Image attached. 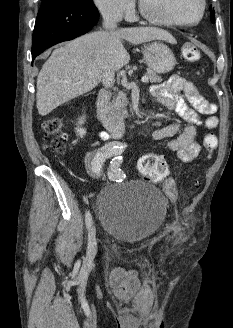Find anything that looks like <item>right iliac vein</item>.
Returning <instances> with one entry per match:
<instances>
[{
    "instance_id": "1",
    "label": "right iliac vein",
    "mask_w": 233,
    "mask_h": 328,
    "mask_svg": "<svg viewBox=\"0 0 233 328\" xmlns=\"http://www.w3.org/2000/svg\"><path fill=\"white\" fill-rule=\"evenodd\" d=\"M97 252L96 228L92 224L88 233V246H87V263H91Z\"/></svg>"
}]
</instances>
